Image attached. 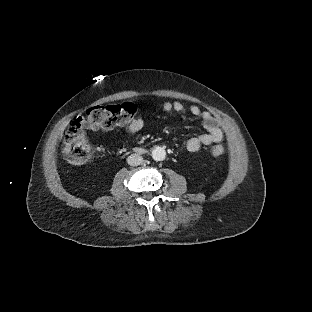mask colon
<instances>
[{
    "mask_svg": "<svg viewBox=\"0 0 312 312\" xmlns=\"http://www.w3.org/2000/svg\"><path fill=\"white\" fill-rule=\"evenodd\" d=\"M138 112L139 108L130 103L96 105L89 108L86 117H81L64 132V155L68 163L73 166L82 165L92 154L93 146L88 139L87 131L100 132L128 123ZM210 151L213 156H220L225 152V146L217 143Z\"/></svg>",
    "mask_w": 312,
    "mask_h": 312,
    "instance_id": "1",
    "label": "colon"
}]
</instances>
